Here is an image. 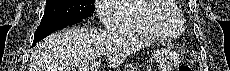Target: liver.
Masks as SVG:
<instances>
[{"instance_id":"1","label":"liver","mask_w":230,"mask_h":71,"mask_svg":"<svg viewBox=\"0 0 230 71\" xmlns=\"http://www.w3.org/2000/svg\"><path fill=\"white\" fill-rule=\"evenodd\" d=\"M150 44L146 39L72 27L41 41L32 53L28 71H80L83 67L90 68L94 62L99 66L98 59L103 55L108 66L116 67L128 55Z\"/></svg>"}]
</instances>
